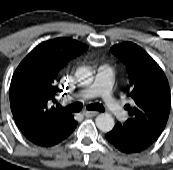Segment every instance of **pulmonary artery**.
Segmentation results:
<instances>
[{"label":"pulmonary artery","mask_w":173,"mask_h":170,"mask_svg":"<svg viewBox=\"0 0 173 170\" xmlns=\"http://www.w3.org/2000/svg\"><path fill=\"white\" fill-rule=\"evenodd\" d=\"M114 74L108 67L99 68L92 85L77 92L76 97L80 100H88L100 96L105 102L110 113L118 120L125 118V111L113 96Z\"/></svg>","instance_id":"e3ab8cb5"}]
</instances>
